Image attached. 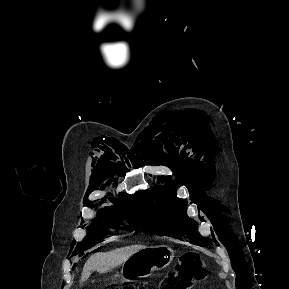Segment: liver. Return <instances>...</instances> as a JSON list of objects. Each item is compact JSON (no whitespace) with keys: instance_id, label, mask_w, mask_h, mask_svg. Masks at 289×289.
I'll list each match as a JSON object with an SVG mask.
<instances>
[{"instance_id":"1","label":"liver","mask_w":289,"mask_h":289,"mask_svg":"<svg viewBox=\"0 0 289 289\" xmlns=\"http://www.w3.org/2000/svg\"><path fill=\"white\" fill-rule=\"evenodd\" d=\"M145 248L142 245H132L123 248H118L106 253H97L92 255L83 267L81 274V282L86 281L92 271L96 270L100 274L106 273L111 269L123 264L133 254Z\"/></svg>"}]
</instances>
